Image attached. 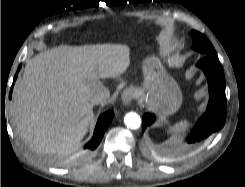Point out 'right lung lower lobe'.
<instances>
[{"mask_svg":"<svg viewBox=\"0 0 245 187\" xmlns=\"http://www.w3.org/2000/svg\"><path fill=\"white\" fill-rule=\"evenodd\" d=\"M20 68H21V65L19 66L17 73L15 74L13 85L15 83V80L17 78ZM13 85H12V88H13ZM11 94H12V89L10 91L9 98H11ZM113 117H114V113L112 111H108L99 117L95 131H94L93 138L84 146V149L87 150L86 153H89L90 151H93L94 149L97 148V146L102 140V137L105 131L111 124Z\"/></svg>","mask_w":245,"mask_h":187,"instance_id":"obj_1","label":"right lung lower lobe"}]
</instances>
